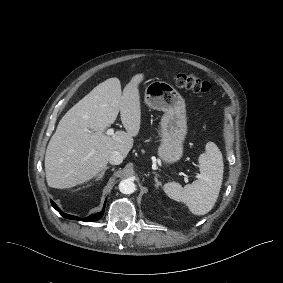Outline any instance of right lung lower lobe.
I'll return each mask as SVG.
<instances>
[{"label": "right lung lower lobe", "mask_w": 283, "mask_h": 283, "mask_svg": "<svg viewBox=\"0 0 283 283\" xmlns=\"http://www.w3.org/2000/svg\"><path fill=\"white\" fill-rule=\"evenodd\" d=\"M106 203V202H105ZM51 204L52 206L66 219H71V220H83V221H96V220H99L103 214H104V209H105V204H104V207H103V210L99 213H96V214H93L87 218H84V219H80L79 217H76V216H72V215H68V214H65L63 213L58 207L57 205L51 201Z\"/></svg>", "instance_id": "right-lung-lower-lobe-1"}]
</instances>
